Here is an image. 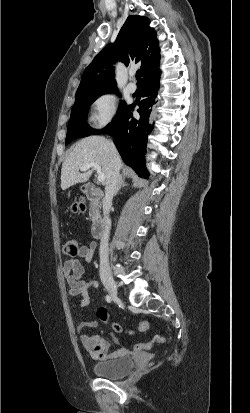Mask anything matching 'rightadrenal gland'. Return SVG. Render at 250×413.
Wrapping results in <instances>:
<instances>
[{
	"label": "right adrenal gland",
	"mask_w": 250,
	"mask_h": 413,
	"mask_svg": "<svg viewBox=\"0 0 250 413\" xmlns=\"http://www.w3.org/2000/svg\"><path fill=\"white\" fill-rule=\"evenodd\" d=\"M125 186H128V184H125V182H124V178H123V175H120L119 176V179H118V183H117V186H116V190H115V196L118 194V192H119V190L122 188V187H125Z\"/></svg>",
	"instance_id": "1"
}]
</instances>
